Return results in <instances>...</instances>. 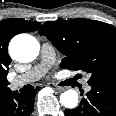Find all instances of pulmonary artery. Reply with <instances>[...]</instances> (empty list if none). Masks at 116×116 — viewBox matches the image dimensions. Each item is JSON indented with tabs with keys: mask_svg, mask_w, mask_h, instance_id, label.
Instances as JSON below:
<instances>
[{
	"mask_svg": "<svg viewBox=\"0 0 116 116\" xmlns=\"http://www.w3.org/2000/svg\"><path fill=\"white\" fill-rule=\"evenodd\" d=\"M41 55H42L41 63L11 80L10 82L11 89L15 90L28 83L34 82L43 77L48 72V70L53 65L55 60L54 48L49 42H44L42 44ZM84 84L85 91H89L90 86L88 85V77L84 79Z\"/></svg>",
	"mask_w": 116,
	"mask_h": 116,
	"instance_id": "e3ab8cb5",
	"label": "pulmonary artery"
}]
</instances>
